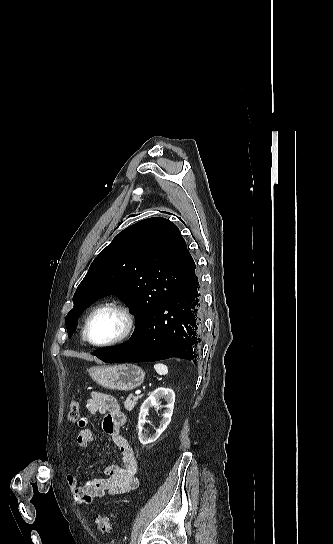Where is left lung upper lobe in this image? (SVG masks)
I'll return each mask as SVG.
<instances>
[{
	"label": "left lung upper lobe",
	"instance_id": "left-lung-upper-lobe-1",
	"mask_svg": "<svg viewBox=\"0 0 333 544\" xmlns=\"http://www.w3.org/2000/svg\"><path fill=\"white\" fill-rule=\"evenodd\" d=\"M195 268L178 227L168 219L153 217L126 228L94 259L78 286L65 319L68 337L84 308L111 292L129 303L140 325Z\"/></svg>",
	"mask_w": 333,
	"mask_h": 544
}]
</instances>
